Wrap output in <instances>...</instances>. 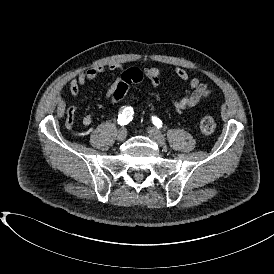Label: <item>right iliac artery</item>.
Wrapping results in <instances>:
<instances>
[{"instance_id":"1","label":"right iliac artery","mask_w":274,"mask_h":274,"mask_svg":"<svg viewBox=\"0 0 274 274\" xmlns=\"http://www.w3.org/2000/svg\"><path fill=\"white\" fill-rule=\"evenodd\" d=\"M133 109L126 108L122 113L118 116V123L120 125H126L132 120Z\"/></svg>"}]
</instances>
